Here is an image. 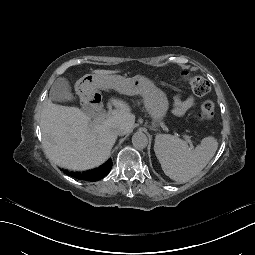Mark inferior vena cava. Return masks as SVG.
Masks as SVG:
<instances>
[{"label":"inferior vena cava","mask_w":255,"mask_h":255,"mask_svg":"<svg viewBox=\"0 0 255 255\" xmlns=\"http://www.w3.org/2000/svg\"><path fill=\"white\" fill-rule=\"evenodd\" d=\"M113 131L117 135H125L127 133V128L122 124H117L113 126Z\"/></svg>","instance_id":"obj_1"}]
</instances>
